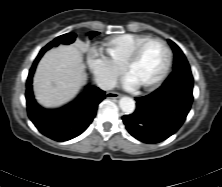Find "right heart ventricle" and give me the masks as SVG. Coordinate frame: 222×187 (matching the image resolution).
<instances>
[{"instance_id":"obj_1","label":"right heart ventricle","mask_w":222,"mask_h":187,"mask_svg":"<svg viewBox=\"0 0 222 187\" xmlns=\"http://www.w3.org/2000/svg\"><path fill=\"white\" fill-rule=\"evenodd\" d=\"M147 38L149 37L139 34L114 36L104 42V49L108 58L122 68L135 47Z\"/></svg>"}]
</instances>
